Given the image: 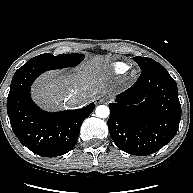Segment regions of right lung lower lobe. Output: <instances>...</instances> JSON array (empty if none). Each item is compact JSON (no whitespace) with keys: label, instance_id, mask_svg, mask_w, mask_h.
Segmentation results:
<instances>
[{"label":"right lung lower lobe","instance_id":"right-lung-lower-lobe-1","mask_svg":"<svg viewBox=\"0 0 193 193\" xmlns=\"http://www.w3.org/2000/svg\"><path fill=\"white\" fill-rule=\"evenodd\" d=\"M46 67H20L14 74L7 98V113L14 134L29 150L43 157L69 152L77 142L82 122L92 113L94 103L77 109L48 113L30 96L33 81Z\"/></svg>","mask_w":193,"mask_h":193}]
</instances>
